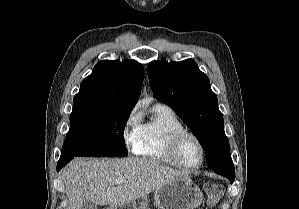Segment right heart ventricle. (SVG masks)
I'll list each match as a JSON object with an SVG mask.
<instances>
[{
  "mask_svg": "<svg viewBox=\"0 0 299 209\" xmlns=\"http://www.w3.org/2000/svg\"><path fill=\"white\" fill-rule=\"evenodd\" d=\"M183 130L182 122L170 108L156 104L152 108L151 118L140 124L133 151L147 159L175 166L168 152L169 139L174 133Z\"/></svg>",
  "mask_w": 299,
  "mask_h": 209,
  "instance_id": "right-heart-ventricle-1",
  "label": "right heart ventricle"
}]
</instances>
